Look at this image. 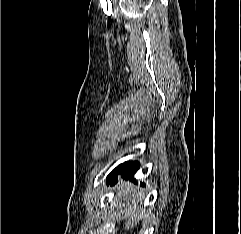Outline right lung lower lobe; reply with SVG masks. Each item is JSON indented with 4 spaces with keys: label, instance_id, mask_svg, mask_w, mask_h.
<instances>
[{
    "label": "right lung lower lobe",
    "instance_id": "1",
    "mask_svg": "<svg viewBox=\"0 0 241 234\" xmlns=\"http://www.w3.org/2000/svg\"><path fill=\"white\" fill-rule=\"evenodd\" d=\"M139 168L138 162H125L117 166L108 176L107 183L114 184L118 180V174L121 175L123 179H130L135 181L133 175ZM141 185H144L141 183Z\"/></svg>",
    "mask_w": 241,
    "mask_h": 234
}]
</instances>
